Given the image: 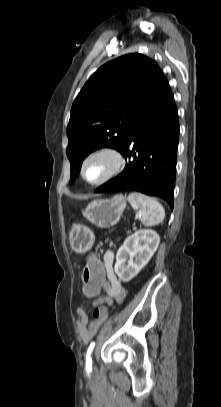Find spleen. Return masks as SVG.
Listing matches in <instances>:
<instances>
[{
	"label": "spleen",
	"instance_id": "1",
	"mask_svg": "<svg viewBox=\"0 0 221 407\" xmlns=\"http://www.w3.org/2000/svg\"><path fill=\"white\" fill-rule=\"evenodd\" d=\"M128 201L144 225L154 226L164 220V208L156 199L139 192H131Z\"/></svg>",
	"mask_w": 221,
	"mask_h": 407
}]
</instances>
